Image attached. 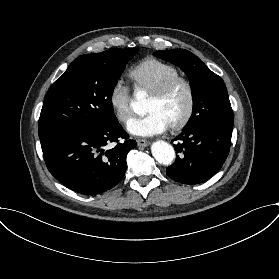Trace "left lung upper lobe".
Returning a JSON list of instances; mask_svg holds the SVG:
<instances>
[{
	"label": "left lung upper lobe",
	"instance_id": "obj_1",
	"mask_svg": "<svg viewBox=\"0 0 279 279\" xmlns=\"http://www.w3.org/2000/svg\"><path fill=\"white\" fill-rule=\"evenodd\" d=\"M154 55L177 65L189 78L193 113L186 128L202 123L233 126V111L227 89L220 76L187 50H165Z\"/></svg>",
	"mask_w": 279,
	"mask_h": 279
}]
</instances>
